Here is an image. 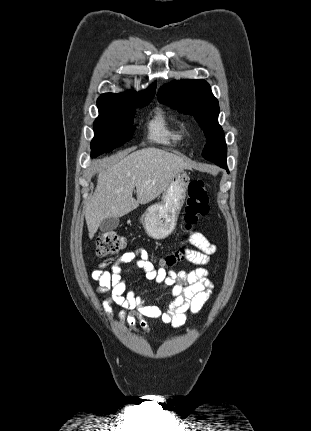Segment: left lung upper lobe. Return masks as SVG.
I'll return each mask as SVG.
<instances>
[{
    "label": "left lung upper lobe",
    "instance_id": "obj_1",
    "mask_svg": "<svg viewBox=\"0 0 311 431\" xmlns=\"http://www.w3.org/2000/svg\"><path fill=\"white\" fill-rule=\"evenodd\" d=\"M160 102L191 114L204 130L207 143L202 156L217 165L226 158L227 146L218 123L219 105L209 84L204 80H180L163 86L158 92Z\"/></svg>",
    "mask_w": 311,
    "mask_h": 431
}]
</instances>
